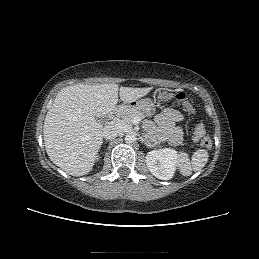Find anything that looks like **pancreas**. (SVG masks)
Returning a JSON list of instances; mask_svg holds the SVG:
<instances>
[{
    "instance_id": "pancreas-1",
    "label": "pancreas",
    "mask_w": 259,
    "mask_h": 259,
    "mask_svg": "<svg viewBox=\"0 0 259 259\" xmlns=\"http://www.w3.org/2000/svg\"><path fill=\"white\" fill-rule=\"evenodd\" d=\"M134 117L143 119L145 114L138 109L132 108H121L117 113V120L123 127H131L133 125Z\"/></svg>"
}]
</instances>
